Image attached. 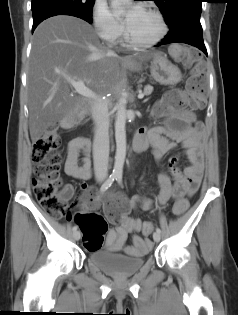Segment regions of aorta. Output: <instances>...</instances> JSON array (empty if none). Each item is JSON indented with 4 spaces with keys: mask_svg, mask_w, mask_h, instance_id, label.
<instances>
[{
    "mask_svg": "<svg viewBox=\"0 0 238 315\" xmlns=\"http://www.w3.org/2000/svg\"><path fill=\"white\" fill-rule=\"evenodd\" d=\"M126 100L121 97L116 105V120H115V140H116V155L113 174L121 175L126 157Z\"/></svg>",
    "mask_w": 238,
    "mask_h": 315,
    "instance_id": "obj_1",
    "label": "aorta"
}]
</instances>
